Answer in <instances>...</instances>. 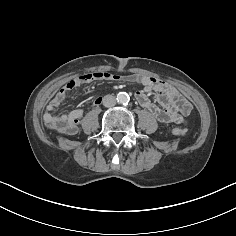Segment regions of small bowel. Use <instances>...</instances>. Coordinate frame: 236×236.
I'll return each mask as SVG.
<instances>
[{
  "label": "small bowel",
  "mask_w": 236,
  "mask_h": 236,
  "mask_svg": "<svg viewBox=\"0 0 236 236\" xmlns=\"http://www.w3.org/2000/svg\"><path fill=\"white\" fill-rule=\"evenodd\" d=\"M102 72L88 73L67 81L53 96L46 107V113L43 116L44 123L48 129L57 134L72 135L77 132L80 120L84 115L83 108H77L69 113L55 115L54 111L64 102L68 93L80 88L84 84L91 83L95 80H115L136 82L143 85V89L136 92L135 97L139 105L154 116L161 123H185L184 117L188 115L192 106L185 98H183L177 90L167 82L139 74L128 76L113 75L101 77ZM152 91L157 92V99L162 107L153 104L148 95ZM102 98L97 97L93 101V106L97 107L101 104Z\"/></svg>",
  "instance_id": "1"
}]
</instances>
